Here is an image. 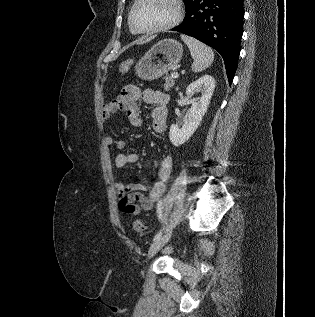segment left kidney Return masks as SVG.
<instances>
[{"instance_id": "obj_1", "label": "left kidney", "mask_w": 315, "mask_h": 317, "mask_svg": "<svg viewBox=\"0 0 315 317\" xmlns=\"http://www.w3.org/2000/svg\"><path fill=\"white\" fill-rule=\"evenodd\" d=\"M214 88L215 80L211 75L200 77L186 88L187 95L192 96L194 93H200L201 97L193 101L181 129L177 124L171 125L169 138L174 146L178 147L184 144L196 131L207 112Z\"/></svg>"}]
</instances>
